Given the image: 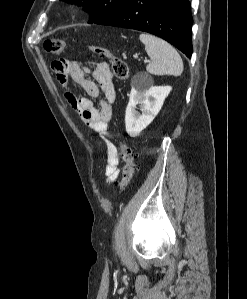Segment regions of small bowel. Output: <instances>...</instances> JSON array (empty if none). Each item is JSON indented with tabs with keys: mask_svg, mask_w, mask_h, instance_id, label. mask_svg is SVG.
Wrapping results in <instances>:
<instances>
[{
	"mask_svg": "<svg viewBox=\"0 0 247 299\" xmlns=\"http://www.w3.org/2000/svg\"><path fill=\"white\" fill-rule=\"evenodd\" d=\"M90 65L91 68L79 61L59 59L52 63V69L57 81L67 88L65 97L69 105L81 116L86 125L105 139L107 163L104 174L106 182L112 183L119 175V156L117 148L107 137L116 90L108 63L93 62ZM88 73L92 74L94 80L86 78ZM69 77L81 86L88 96L99 98L100 106L95 107L89 98L71 91L68 85Z\"/></svg>",
	"mask_w": 247,
	"mask_h": 299,
	"instance_id": "small-bowel-1",
	"label": "small bowel"
}]
</instances>
